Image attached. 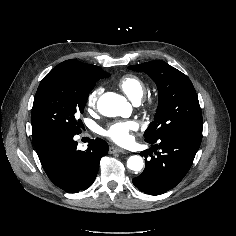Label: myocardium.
<instances>
[{
  "label": "myocardium",
  "instance_id": "f54148a6",
  "mask_svg": "<svg viewBox=\"0 0 236 236\" xmlns=\"http://www.w3.org/2000/svg\"><path fill=\"white\" fill-rule=\"evenodd\" d=\"M154 104H155V99L152 97H145L143 99V106H145L146 108H151L153 107Z\"/></svg>",
  "mask_w": 236,
  "mask_h": 236
}]
</instances>
